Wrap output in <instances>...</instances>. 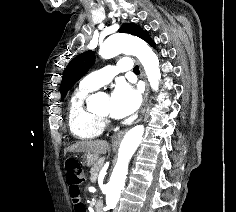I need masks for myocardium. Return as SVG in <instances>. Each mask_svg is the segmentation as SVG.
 Here are the masks:
<instances>
[{
	"label": "myocardium",
	"instance_id": "obj_1",
	"mask_svg": "<svg viewBox=\"0 0 236 212\" xmlns=\"http://www.w3.org/2000/svg\"><path fill=\"white\" fill-rule=\"evenodd\" d=\"M98 116L104 121V122H110L112 120V117L109 114H98Z\"/></svg>",
	"mask_w": 236,
	"mask_h": 212
}]
</instances>
